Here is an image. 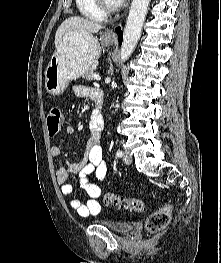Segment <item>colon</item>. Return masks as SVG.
<instances>
[{
  "instance_id": "obj_1",
  "label": "colon",
  "mask_w": 221,
  "mask_h": 263,
  "mask_svg": "<svg viewBox=\"0 0 221 263\" xmlns=\"http://www.w3.org/2000/svg\"><path fill=\"white\" fill-rule=\"evenodd\" d=\"M63 125V116L59 108H50L47 112V126L50 136H55L59 133ZM104 203L112 205L118 209L142 213L145 210L144 203L141 199L120 196L109 193L104 197ZM172 213V207L169 205L163 206L153 212L145 222V228L148 233L154 234L163 231L169 224Z\"/></svg>"
}]
</instances>
